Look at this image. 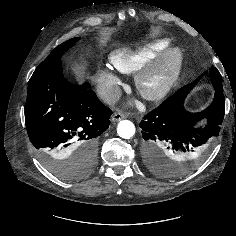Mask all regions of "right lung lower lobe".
I'll return each mask as SVG.
<instances>
[{
	"label": "right lung lower lobe",
	"mask_w": 236,
	"mask_h": 236,
	"mask_svg": "<svg viewBox=\"0 0 236 236\" xmlns=\"http://www.w3.org/2000/svg\"><path fill=\"white\" fill-rule=\"evenodd\" d=\"M111 114L89 83L73 85L64 78L61 61L38 66L29 80L25 125L42 155L64 158L76 149L68 158L96 162L98 136Z\"/></svg>",
	"instance_id": "obj_1"
}]
</instances>
